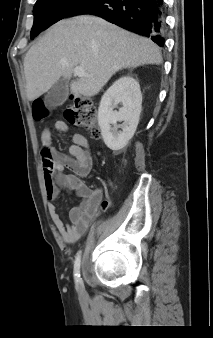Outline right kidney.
<instances>
[{"mask_svg": "<svg viewBox=\"0 0 213 338\" xmlns=\"http://www.w3.org/2000/svg\"><path fill=\"white\" fill-rule=\"evenodd\" d=\"M118 104L122 107L117 112L114 108ZM141 104L140 85L137 80L129 76L118 79L104 93L98 109V123L108 148L120 150L127 145L139 123ZM118 121H123L122 131L111 127Z\"/></svg>", "mask_w": 213, "mask_h": 338, "instance_id": "ca27d5eb", "label": "right kidney"}]
</instances>
